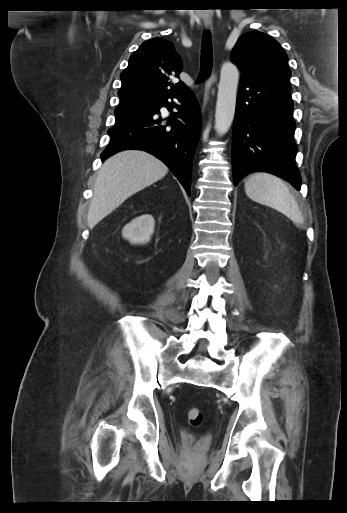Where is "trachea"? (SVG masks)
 Returning <instances> with one entry per match:
<instances>
[{"mask_svg": "<svg viewBox=\"0 0 347 513\" xmlns=\"http://www.w3.org/2000/svg\"><path fill=\"white\" fill-rule=\"evenodd\" d=\"M213 50L209 32H204L201 45V67L198 81L206 79L212 70Z\"/></svg>", "mask_w": 347, "mask_h": 513, "instance_id": "trachea-1", "label": "trachea"}]
</instances>
